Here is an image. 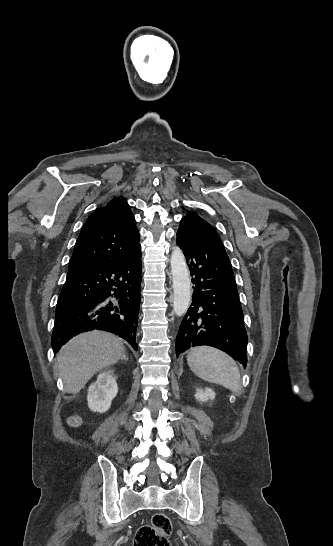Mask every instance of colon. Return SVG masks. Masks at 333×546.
<instances>
[{"mask_svg":"<svg viewBox=\"0 0 333 546\" xmlns=\"http://www.w3.org/2000/svg\"><path fill=\"white\" fill-rule=\"evenodd\" d=\"M171 531L170 518L166 514L157 513L152 517L150 524L137 530L134 546H170L168 537Z\"/></svg>","mask_w":333,"mask_h":546,"instance_id":"5ec220e1","label":"colon"}]
</instances>
